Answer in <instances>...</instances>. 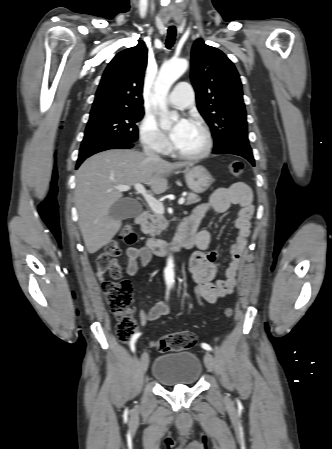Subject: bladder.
<instances>
[{
	"mask_svg": "<svg viewBox=\"0 0 332 449\" xmlns=\"http://www.w3.org/2000/svg\"><path fill=\"white\" fill-rule=\"evenodd\" d=\"M202 364L193 352L178 351L159 355L152 367V377L166 387L193 386L202 375Z\"/></svg>",
	"mask_w": 332,
	"mask_h": 449,
	"instance_id": "31cf9c89",
	"label": "bladder"
}]
</instances>
